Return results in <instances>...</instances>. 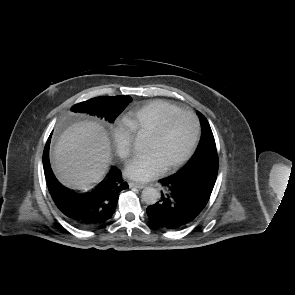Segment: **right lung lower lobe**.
I'll return each mask as SVG.
<instances>
[{"label": "right lung lower lobe", "mask_w": 295, "mask_h": 295, "mask_svg": "<svg viewBox=\"0 0 295 295\" xmlns=\"http://www.w3.org/2000/svg\"><path fill=\"white\" fill-rule=\"evenodd\" d=\"M49 137L43 153V166L50 194L65 218L74 226L89 229L104 224L112 217L117 205L119 192L129 186L121 172L112 167L105 179L86 193H77L61 185L51 172L49 164H44L49 154Z\"/></svg>", "instance_id": "obj_1"}]
</instances>
